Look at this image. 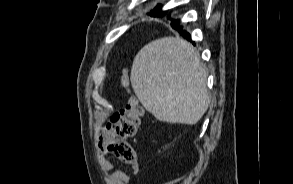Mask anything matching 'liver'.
<instances>
[{
	"mask_svg": "<svg viewBox=\"0 0 293 184\" xmlns=\"http://www.w3.org/2000/svg\"><path fill=\"white\" fill-rule=\"evenodd\" d=\"M130 80L141 104L159 121L193 125L210 103L206 68L179 37L145 45L134 58Z\"/></svg>",
	"mask_w": 293,
	"mask_h": 184,
	"instance_id": "obj_1",
	"label": "liver"
}]
</instances>
